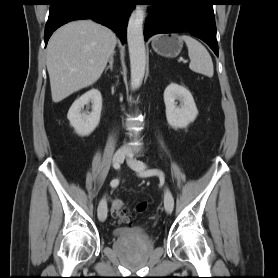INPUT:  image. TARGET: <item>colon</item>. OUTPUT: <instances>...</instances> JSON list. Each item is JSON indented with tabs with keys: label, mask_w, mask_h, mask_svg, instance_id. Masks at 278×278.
Here are the masks:
<instances>
[{
	"label": "colon",
	"mask_w": 278,
	"mask_h": 278,
	"mask_svg": "<svg viewBox=\"0 0 278 278\" xmlns=\"http://www.w3.org/2000/svg\"><path fill=\"white\" fill-rule=\"evenodd\" d=\"M144 209V203H140L137 206L138 211H143ZM111 212L114 217L120 219L123 222L129 223L132 220V214L126 209L124 202L118 198L112 199Z\"/></svg>",
	"instance_id": "colon-1"
}]
</instances>
